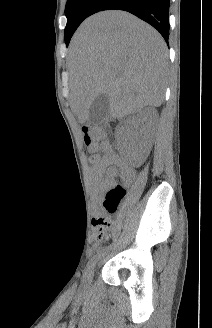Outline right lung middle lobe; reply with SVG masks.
Returning a JSON list of instances; mask_svg holds the SVG:
<instances>
[{
	"label": "right lung middle lobe",
	"mask_w": 212,
	"mask_h": 328,
	"mask_svg": "<svg viewBox=\"0 0 212 328\" xmlns=\"http://www.w3.org/2000/svg\"><path fill=\"white\" fill-rule=\"evenodd\" d=\"M96 0H68L65 7L67 25L65 27V43L69 44L70 39L81 24L88 17V12Z\"/></svg>",
	"instance_id": "1"
}]
</instances>
